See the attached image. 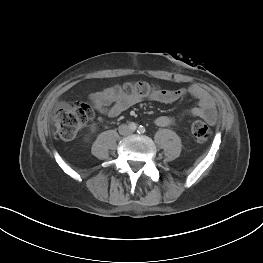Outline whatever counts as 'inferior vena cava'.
I'll list each match as a JSON object with an SVG mask.
<instances>
[{"label": "inferior vena cava", "instance_id": "1", "mask_svg": "<svg viewBox=\"0 0 263 263\" xmlns=\"http://www.w3.org/2000/svg\"><path fill=\"white\" fill-rule=\"evenodd\" d=\"M130 132L129 128L127 125H121L119 126V133L120 134H128Z\"/></svg>", "mask_w": 263, "mask_h": 263}]
</instances>
